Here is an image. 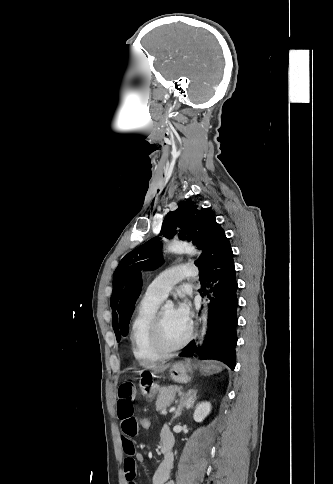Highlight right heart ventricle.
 Masks as SVG:
<instances>
[{
  "label": "right heart ventricle",
  "instance_id": "obj_1",
  "mask_svg": "<svg viewBox=\"0 0 333 484\" xmlns=\"http://www.w3.org/2000/svg\"><path fill=\"white\" fill-rule=\"evenodd\" d=\"M161 300L150 296L142 298L137 306L130 329V343L137 361L144 366L160 361L163 356L153 347L151 327Z\"/></svg>",
  "mask_w": 333,
  "mask_h": 484
}]
</instances>
